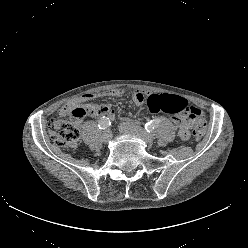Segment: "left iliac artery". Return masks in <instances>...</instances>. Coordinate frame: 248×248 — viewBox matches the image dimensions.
I'll list each match as a JSON object with an SVG mask.
<instances>
[{
	"instance_id": "left-iliac-artery-1",
	"label": "left iliac artery",
	"mask_w": 248,
	"mask_h": 248,
	"mask_svg": "<svg viewBox=\"0 0 248 248\" xmlns=\"http://www.w3.org/2000/svg\"><path fill=\"white\" fill-rule=\"evenodd\" d=\"M157 121L153 120L145 124V129L147 132H153L157 127Z\"/></svg>"
}]
</instances>
